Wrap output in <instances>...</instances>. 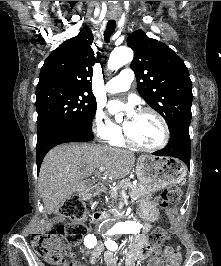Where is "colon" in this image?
<instances>
[{"instance_id": "1", "label": "colon", "mask_w": 221, "mask_h": 266, "mask_svg": "<svg viewBox=\"0 0 221 266\" xmlns=\"http://www.w3.org/2000/svg\"><path fill=\"white\" fill-rule=\"evenodd\" d=\"M182 190L178 186H170L156 199V205L165 210L175 204L181 197ZM56 214L69 220L56 231L35 233L31 236V243L35 252L47 262L57 265L62 260V239L70 244L78 243L86 234L87 226L84 223L86 209L80 199L74 197L64 201L57 209ZM169 236L163 229H155L150 234L153 246L167 242ZM181 254L172 248L169 252L168 265L179 266Z\"/></svg>"}]
</instances>
